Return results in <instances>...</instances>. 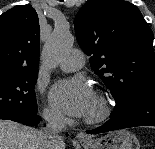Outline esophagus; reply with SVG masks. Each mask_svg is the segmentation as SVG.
Returning a JSON list of instances; mask_svg holds the SVG:
<instances>
[{"label":"esophagus","instance_id":"esophagus-1","mask_svg":"<svg viewBox=\"0 0 155 149\" xmlns=\"http://www.w3.org/2000/svg\"><path fill=\"white\" fill-rule=\"evenodd\" d=\"M76 139L80 142L82 141H87L89 138L87 137V135L83 132H79L77 135H76Z\"/></svg>","mask_w":155,"mask_h":149}]
</instances>
